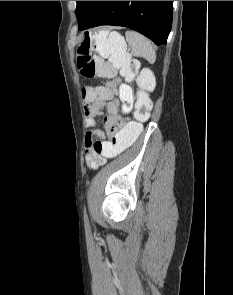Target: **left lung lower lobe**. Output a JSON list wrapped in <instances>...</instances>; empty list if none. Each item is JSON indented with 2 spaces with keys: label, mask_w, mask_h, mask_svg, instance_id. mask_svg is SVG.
<instances>
[{
  "label": "left lung lower lobe",
  "mask_w": 233,
  "mask_h": 295,
  "mask_svg": "<svg viewBox=\"0 0 233 295\" xmlns=\"http://www.w3.org/2000/svg\"><path fill=\"white\" fill-rule=\"evenodd\" d=\"M173 1H99L80 29L116 25L134 29L155 44H166L172 25Z\"/></svg>",
  "instance_id": "left-lung-lower-lobe-1"
}]
</instances>
